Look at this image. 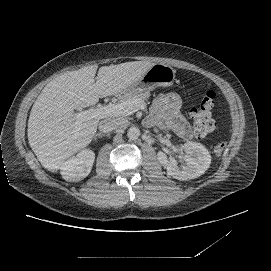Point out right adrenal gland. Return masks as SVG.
<instances>
[{"instance_id":"obj_1","label":"right adrenal gland","mask_w":271,"mask_h":271,"mask_svg":"<svg viewBox=\"0 0 271 271\" xmlns=\"http://www.w3.org/2000/svg\"><path fill=\"white\" fill-rule=\"evenodd\" d=\"M103 136H104V134L99 132V133H95L93 138L96 139L97 137H103Z\"/></svg>"}]
</instances>
